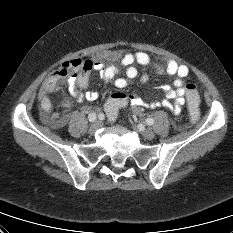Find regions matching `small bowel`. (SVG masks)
Returning <instances> with one entry per match:
<instances>
[{"label": "small bowel", "mask_w": 233, "mask_h": 233, "mask_svg": "<svg viewBox=\"0 0 233 233\" xmlns=\"http://www.w3.org/2000/svg\"><path fill=\"white\" fill-rule=\"evenodd\" d=\"M105 57L110 60L107 66L96 61L92 62V69L98 71L102 79L107 84H113L115 87L122 89L127 86L128 79H134L138 76V70L135 67L136 64L141 66H148L152 63L151 57L144 52L127 53L120 54L117 52H109ZM155 67L160 73H166L170 75H176L177 78L174 80V88L166 87L164 89L166 98L162 102L151 101L144 102L143 100L130 96V102L135 110L142 107L148 108H159L164 107L175 114L180 113L182 106L185 102L184 80L190 75L188 67L184 64H180L174 60H168L162 62L160 59H156ZM122 68L126 69V77H118L120 70ZM89 73V72H88ZM88 73L80 76H70L68 79L69 89L73 97L77 100L86 99L89 101H94L99 98L100 94L97 91H92L88 89ZM48 78L45 80L42 86L47 82ZM140 82L147 85L149 78L146 74L140 77ZM70 106V101L65 100L63 103V108L68 109ZM47 121L54 127H61L65 124L66 119L64 115L58 112L48 113L46 115Z\"/></svg>", "instance_id": "c3829d8e"}]
</instances>
